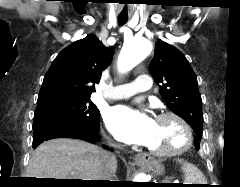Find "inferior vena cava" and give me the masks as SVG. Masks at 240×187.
Returning <instances> with one entry per match:
<instances>
[{"label": "inferior vena cava", "mask_w": 240, "mask_h": 187, "mask_svg": "<svg viewBox=\"0 0 240 187\" xmlns=\"http://www.w3.org/2000/svg\"><path fill=\"white\" fill-rule=\"evenodd\" d=\"M107 144L111 147H115L116 145L110 140L108 139ZM116 160L115 156L112 155L109 152H104L103 156H102V162H103V167H104V173L106 175V178H104L103 180H108L110 178V174H109V164L111 162H114Z\"/></svg>", "instance_id": "obj_1"}]
</instances>
